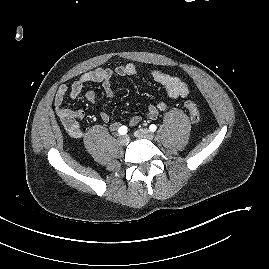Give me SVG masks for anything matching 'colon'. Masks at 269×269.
<instances>
[{"instance_id": "1", "label": "colon", "mask_w": 269, "mask_h": 269, "mask_svg": "<svg viewBox=\"0 0 269 269\" xmlns=\"http://www.w3.org/2000/svg\"><path fill=\"white\" fill-rule=\"evenodd\" d=\"M185 107L187 108L190 114V118L193 124L195 125L199 124L201 116L197 104L191 99H186Z\"/></svg>"}]
</instances>
